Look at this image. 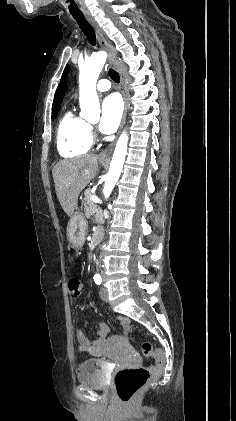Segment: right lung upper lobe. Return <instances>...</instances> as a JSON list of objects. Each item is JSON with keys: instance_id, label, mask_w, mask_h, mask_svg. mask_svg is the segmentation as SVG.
Wrapping results in <instances>:
<instances>
[{"instance_id": "obj_1", "label": "right lung upper lobe", "mask_w": 236, "mask_h": 421, "mask_svg": "<svg viewBox=\"0 0 236 421\" xmlns=\"http://www.w3.org/2000/svg\"><path fill=\"white\" fill-rule=\"evenodd\" d=\"M65 89H66V83L61 82L59 84L58 88H57V91H56L55 99H54V102H53L52 112L55 111V110H59L60 104H61L63 96H64Z\"/></svg>"}]
</instances>
